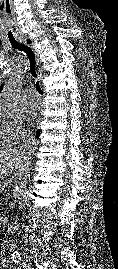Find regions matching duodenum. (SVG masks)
Instances as JSON below:
<instances>
[{"label": "duodenum", "mask_w": 118, "mask_h": 269, "mask_svg": "<svg viewBox=\"0 0 118 269\" xmlns=\"http://www.w3.org/2000/svg\"><path fill=\"white\" fill-rule=\"evenodd\" d=\"M18 228V223L17 222H14V221H8L6 222L5 224V232L7 234H13L16 232Z\"/></svg>", "instance_id": "duodenum-1"}]
</instances>
